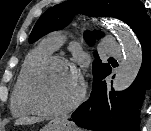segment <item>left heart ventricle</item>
<instances>
[{
	"mask_svg": "<svg viewBox=\"0 0 151 131\" xmlns=\"http://www.w3.org/2000/svg\"><path fill=\"white\" fill-rule=\"evenodd\" d=\"M79 80L69 67L55 64L38 72L31 85L35 103L44 109L66 105L76 94Z\"/></svg>",
	"mask_w": 151,
	"mask_h": 131,
	"instance_id": "obj_1",
	"label": "left heart ventricle"
}]
</instances>
